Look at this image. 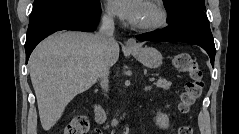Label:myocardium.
Segmentation results:
<instances>
[{"instance_id": "obj_1", "label": "myocardium", "mask_w": 239, "mask_h": 134, "mask_svg": "<svg viewBox=\"0 0 239 134\" xmlns=\"http://www.w3.org/2000/svg\"><path fill=\"white\" fill-rule=\"evenodd\" d=\"M146 4L154 12V19L148 23L138 25L137 28L143 31H154L162 28L168 19L166 10L161 4L154 1H148Z\"/></svg>"}]
</instances>
